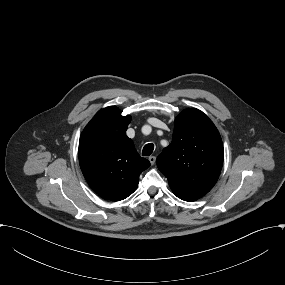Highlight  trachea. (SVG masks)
I'll return each instance as SVG.
<instances>
[{
  "mask_svg": "<svg viewBox=\"0 0 285 285\" xmlns=\"http://www.w3.org/2000/svg\"><path fill=\"white\" fill-rule=\"evenodd\" d=\"M153 150H154V144L153 143L146 144L142 150V155L143 156H150L152 154Z\"/></svg>",
  "mask_w": 285,
  "mask_h": 285,
  "instance_id": "3493384b",
  "label": "trachea"
}]
</instances>
